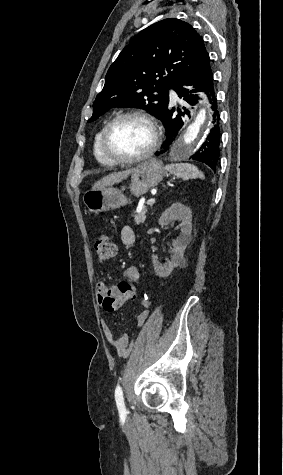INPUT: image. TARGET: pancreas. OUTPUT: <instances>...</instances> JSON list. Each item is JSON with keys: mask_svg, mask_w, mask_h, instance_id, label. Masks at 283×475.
<instances>
[{"mask_svg": "<svg viewBox=\"0 0 283 475\" xmlns=\"http://www.w3.org/2000/svg\"><path fill=\"white\" fill-rule=\"evenodd\" d=\"M146 212H148V208H146V206H144V208H142L141 212H139V214H134L133 218H134V222L135 224H144L145 220H146Z\"/></svg>", "mask_w": 283, "mask_h": 475, "instance_id": "cf45deb5", "label": "pancreas"}]
</instances>
